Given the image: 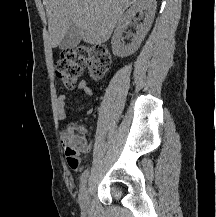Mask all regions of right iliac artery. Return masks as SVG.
I'll use <instances>...</instances> for the list:
<instances>
[{"label":"right iliac artery","instance_id":"right-iliac-artery-1","mask_svg":"<svg viewBox=\"0 0 216 217\" xmlns=\"http://www.w3.org/2000/svg\"><path fill=\"white\" fill-rule=\"evenodd\" d=\"M88 174H89V170H88V169H86V170L82 173V175H81V177H80V185H81V187H84V186H85L86 181H87V178H88Z\"/></svg>","mask_w":216,"mask_h":217}]
</instances>
